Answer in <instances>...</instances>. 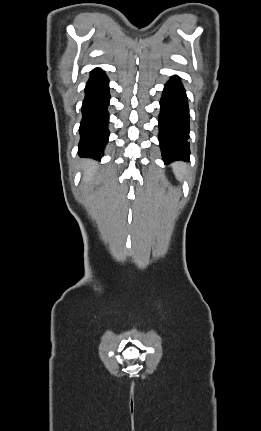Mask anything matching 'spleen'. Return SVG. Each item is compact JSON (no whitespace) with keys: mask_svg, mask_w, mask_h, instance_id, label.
Listing matches in <instances>:
<instances>
[{"mask_svg":"<svg viewBox=\"0 0 261 431\" xmlns=\"http://www.w3.org/2000/svg\"><path fill=\"white\" fill-rule=\"evenodd\" d=\"M173 170L177 178H181L185 173V165L182 163H176L173 165Z\"/></svg>","mask_w":261,"mask_h":431,"instance_id":"spleen-1","label":"spleen"}]
</instances>
